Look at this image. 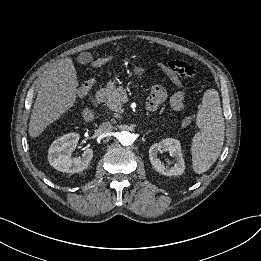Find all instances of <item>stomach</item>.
Returning a JSON list of instances; mask_svg holds the SVG:
<instances>
[{"label":"stomach","mask_w":261,"mask_h":261,"mask_svg":"<svg viewBox=\"0 0 261 261\" xmlns=\"http://www.w3.org/2000/svg\"><path fill=\"white\" fill-rule=\"evenodd\" d=\"M146 72V68H144V67H134V69H133V74L134 75H137V76H140V75H142V74H144Z\"/></svg>","instance_id":"1"}]
</instances>
